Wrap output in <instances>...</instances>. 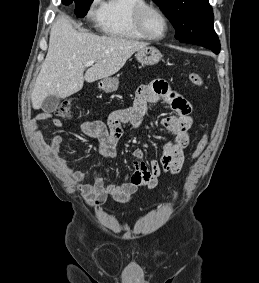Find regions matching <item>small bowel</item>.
Wrapping results in <instances>:
<instances>
[{
    "label": "small bowel",
    "instance_id": "obj_1",
    "mask_svg": "<svg viewBox=\"0 0 259 283\" xmlns=\"http://www.w3.org/2000/svg\"><path fill=\"white\" fill-rule=\"evenodd\" d=\"M160 101L169 105L176 113L162 120L163 127L171 134L172 139L164 146L161 159L151 161L149 166L144 162L143 151L140 148L134 149L132 154L135 171L121 185L107 184L100 176L94 183H83L86 173L69 165L64 158L61 151L62 136L55 135L48 144L44 143L40 130L41 123L49 120L54 126H61V121L52 113L37 114L31 120L30 127L35 139L44 145L57 166L66 174L71 185L89 204L99 205L107 198L118 202H128L139 188L154 189L163 173L176 175L182 169L184 150L190 140L188 131L193 123L190 103L173 92L165 81L155 80L137 89L131 108L112 112L105 122L95 120L84 121L81 124V130L87 137L99 141L97 150L101 157L107 161H113L116 159L117 143L122 136L121 126L129 123L134 128H138L147 113L148 104Z\"/></svg>",
    "mask_w": 259,
    "mask_h": 283
}]
</instances>
